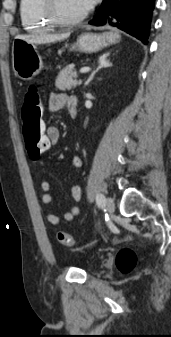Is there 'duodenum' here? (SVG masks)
<instances>
[{"instance_id":"obj_1","label":"duodenum","mask_w":171,"mask_h":337,"mask_svg":"<svg viewBox=\"0 0 171 337\" xmlns=\"http://www.w3.org/2000/svg\"><path fill=\"white\" fill-rule=\"evenodd\" d=\"M68 111L70 113V115L75 118L77 116V112H78V104L73 102L69 105L68 107Z\"/></svg>"}]
</instances>
